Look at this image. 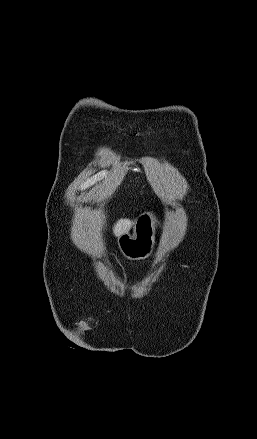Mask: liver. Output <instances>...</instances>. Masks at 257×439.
I'll list each match as a JSON object with an SVG mask.
<instances>
[{
	"instance_id": "obj_1",
	"label": "liver",
	"mask_w": 257,
	"mask_h": 439,
	"mask_svg": "<svg viewBox=\"0 0 257 439\" xmlns=\"http://www.w3.org/2000/svg\"><path fill=\"white\" fill-rule=\"evenodd\" d=\"M134 221L129 219H120L113 227V233L115 236H120L130 230Z\"/></svg>"
}]
</instances>
